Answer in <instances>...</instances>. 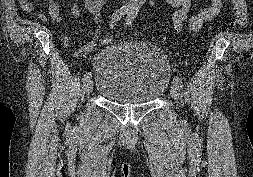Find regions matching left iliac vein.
<instances>
[{"label":"left iliac vein","instance_id":"4c4485c4","mask_svg":"<svg viewBox=\"0 0 253 177\" xmlns=\"http://www.w3.org/2000/svg\"><path fill=\"white\" fill-rule=\"evenodd\" d=\"M171 96L174 100L179 99V86L176 84H173L170 89Z\"/></svg>","mask_w":253,"mask_h":177}]
</instances>
